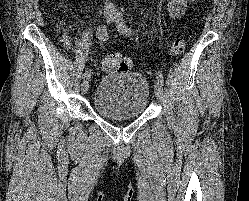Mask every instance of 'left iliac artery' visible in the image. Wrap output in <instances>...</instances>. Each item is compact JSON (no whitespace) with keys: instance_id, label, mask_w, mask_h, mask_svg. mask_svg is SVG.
I'll return each instance as SVG.
<instances>
[{"instance_id":"44dca946","label":"left iliac artery","mask_w":249,"mask_h":201,"mask_svg":"<svg viewBox=\"0 0 249 201\" xmlns=\"http://www.w3.org/2000/svg\"><path fill=\"white\" fill-rule=\"evenodd\" d=\"M118 31L124 35H132L131 29L124 23H122V25L118 28ZM156 79L163 84L164 79L163 74L161 72L157 73Z\"/></svg>"}]
</instances>
